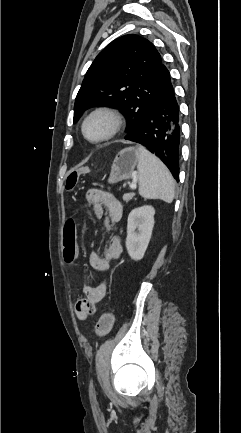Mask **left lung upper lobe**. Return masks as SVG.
Returning a JSON list of instances; mask_svg holds the SVG:
<instances>
[{"mask_svg":"<svg viewBox=\"0 0 241 433\" xmlns=\"http://www.w3.org/2000/svg\"><path fill=\"white\" fill-rule=\"evenodd\" d=\"M169 71L153 44L134 34L112 41L89 67L74 105V123L89 107L110 104L123 110L128 134L165 88Z\"/></svg>","mask_w":241,"mask_h":433,"instance_id":"1","label":"left lung upper lobe"}]
</instances>
